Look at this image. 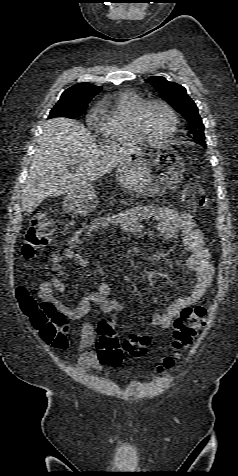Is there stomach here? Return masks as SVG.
Segmentation results:
<instances>
[{
    "label": "stomach",
    "instance_id": "0dacf381",
    "mask_svg": "<svg viewBox=\"0 0 238 476\" xmlns=\"http://www.w3.org/2000/svg\"><path fill=\"white\" fill-rule=\"evenodd\" d=\"M185 163L173 149H163L162 144H149L148 151H136L135 158L120 163L116 176L119 185L127 191L152 196L166 192L178 183ZM98 203L93 185L67 193L64 199L66 211L75 215L92 212Z\"/></svg>",
    "mask_w": 238,
    "mask_h": 476
}]
</instances>
